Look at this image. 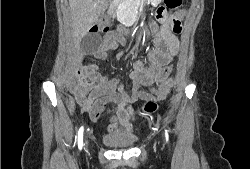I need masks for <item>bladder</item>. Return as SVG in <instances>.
<instances>
[{
	"label": "bladder",
	"instance_id": "1",
	"mask_svg": "<svg viewBox=\"0 0 250 169\" xmlns=\"http://www.w3.org/2000/svg\"><path fill=\"white\" fill-rule=\"evenodd\" d=\"M102 141L110 150L123 151L130 150L138 142V138L135 136H121L107 133L102 136Z\"/></svg>",
	"mask_w": 250,
	"mask_h": 169
}]
</instances>
